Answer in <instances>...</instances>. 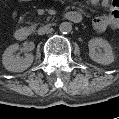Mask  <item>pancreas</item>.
<instances>
[{
	"label": "pancreas",
	"mask_w": 119,
	"mask_h": 119,
	"mask_svg": "<svg viewBox=\"0 0 119 119\" xmlns=\"http://www.w3.org/2000/svg\"><path fill=\"white\" fill-rule=\"evenodd\" d=\"M36 26H37V24H34V25L30 26L29 29H30L31 31H33V30L36 28Z\"/></svg>",
	"instance_id": "cf45deb5"
}]
</instances>
